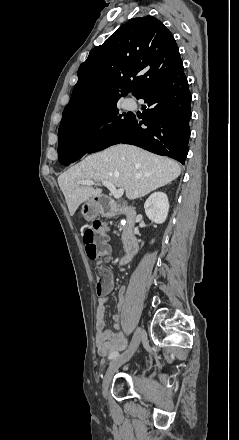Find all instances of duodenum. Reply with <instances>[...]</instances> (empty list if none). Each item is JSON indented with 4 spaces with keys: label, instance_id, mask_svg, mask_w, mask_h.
I'll use <instances>...</instances> for the list:
<instances>
[{
    "label": "duodenum",
    "instance_id": "410a0bca",
    "mask_svg": "<svg viewBox=\"0 0 239 440\" xmlns=\"http://www.w3.org/2000/svg\"><path fill=\"white\" fill-rule=\"evenodd\" d=\"M98 211L105 216L124 215L126 223L122 229V241L124 247V256L122 262H128L138 251L139 244L135 235L136 211L134 208L122 205L108 196H100L96 199Z\"/></svg>",
    "mask_w": 239,
    "mask_h": 440
}]
</instances>
